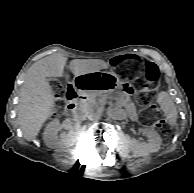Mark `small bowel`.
Segmentation results:
<instances>
[{
	"instance_id": "obj_1",
	"label": "small bowel",
	"mask_w": 194,
	"mask_h": 193,
	"mask_svg": "<svg viewBox=\"0 0 194 193\" xmlns=\"http://www.w3.org/2000/svg\"><path fill=\"white\" fill-rule=\"evenodd\" d=\"M124 105L127 108L128 112L130 113L131 117H135V112L133 110L132 103L129 101H126V103Z\"/></svg>"
}]
</instances>
